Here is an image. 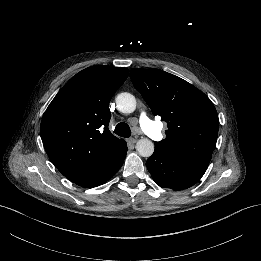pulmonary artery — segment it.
I'll return each instance as SVG.
<instances>
[{
  "label": "pulmonary artery",
  "mask_w": 261,
  "mask_h": 261,
  "mask_svg": "<svg viewBox=\"0 0 261 261\" xmlns=\"http://www.w3.org/2000/svg\"><path fill=\"white\" fill-rule=\"evenodd\" d=\"M145 115L141 116V130L144 133H147L149 138L153 142H160L162 140V133L160 132L158 125L155 121H145Z\"/></svg>",
  "instance_id": "e3ab8cb5"
}]
</instances>
